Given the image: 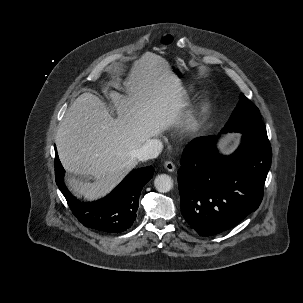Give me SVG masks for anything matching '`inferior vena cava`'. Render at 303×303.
Wrapping results in <instances>:
<instances>
[{"mask_svg": "<svg viewBox=\"0 0 303 303\" xmlns=\"http://www.w3.org/2000/svg\"><path fill=\"white\" fill-rule=\"evenodd\" d=\"M163 148V144L158 139L148 140L141 148L134 152V157L139 161H146L156 158Z\"/></svg>", "mask_w": 303, "mask_h": 303, "instance_id": "inferior-vena-cava-1", "label": "inferior vena cava"}]
</instances>
